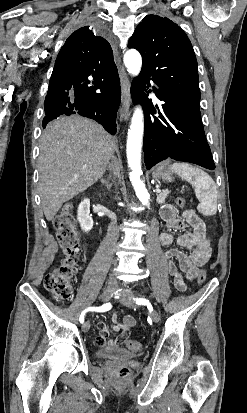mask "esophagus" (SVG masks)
Returning a JSON list of instances; mask_svg holds the SVG:
<instances>
[{
    "label": "esophagus",
    "mask_w": 247,
    "mask_h": 413,
    "mask_svg": "<svg viewBox=\"0 0 247 413\" xmlns=\"http://www.w3.org/2000/svg\"><path fill=\"white\" fill-rule=\"evenodd\" d=\"M112 48L114 51L115 60L117 61V64L119 66L120 78H121L122 106H123L122 119L128 120L130 117L129 110L131 106L130 82H129V79L126 75L124 68L120 64V59H119V54H118L116 43H113Z\"/></svg>",
    "instance_id": "1"
}]
</instances>
